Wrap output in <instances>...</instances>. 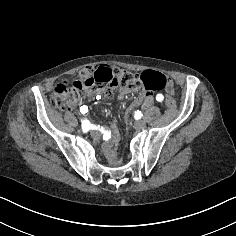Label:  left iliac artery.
I'll list each match as a JSON object with an SVG mask.
<instances>
[{"instance_id":"obj_1","label":"left iliac artery","mask_w":236,"mask_h":236,"mask_svg":"<svg viewBox=\"0 0 236 236\" xmlns=\"http://www.w3.org/2000/svg\"><path fill=\"white\" fill-rule=\"evenodd\" d=\"M163 99H164V97H163L162 94H158V95L156 96V100L159 101V102H161Z\"/></svg>"}]
</instances>
